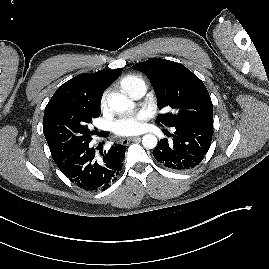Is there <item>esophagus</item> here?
I'll return each mask as SVG.
<instances>
[{
	"label": "esophagus",
	"instance_id": "obj_1",
	"mask_svg": "<svg viewBox=\"0 0 269 269\" xmlns=\"http://www.w3.org/2000/svg\"><path fill=\"white\" fill-rule=\"evenodd\" d=\"M140 140V137H131V138H124L121 140L122 145H128L131 141H138Z\"/></svg>",
	"mask_w": 269,
	"mask_h": 269
}]
</instances>
